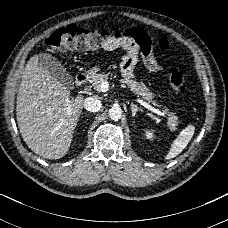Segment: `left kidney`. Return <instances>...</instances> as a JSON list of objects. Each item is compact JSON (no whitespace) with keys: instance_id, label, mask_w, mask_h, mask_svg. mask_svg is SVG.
<instances>
[{"instance_id":"obj_1","label":"left kidney","mask_w":228,"mask_h":228,"mask_svg":"<svg viewBox=\"0 0 228 228\" xmlns=\"http://www.w3.org/2000/svg\"><path fill=\"white\" fill-rule=\"evenodd\" d=\"M147 135H148V137H152L153 133L152 132H148Z\"/></svg>"}]
</instances>
